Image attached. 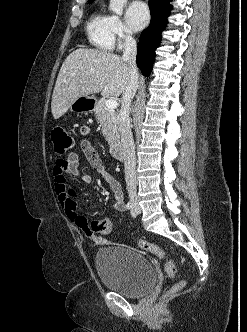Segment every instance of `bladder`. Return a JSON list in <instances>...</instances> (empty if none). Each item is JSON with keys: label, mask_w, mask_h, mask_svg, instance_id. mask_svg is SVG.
<instances>
[{"label": "bladder", "mask_w": 247, "mask_h": 332, "mask_svg": "<svg viewBox=\"0 0 247 332\" xmlns=\"http://www.w3.org/2000/svg\"><path fill=\"white\" fill-rule=\"evenodd\" d=\"M95 266L101 283L125 297H141L156 282V271L150 259L128 245L118 244L98 250Z\"/></svg>", "instance_id": "obj_1"}]
</instances>
